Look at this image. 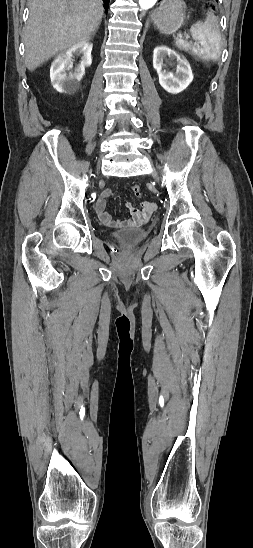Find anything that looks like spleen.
Listing matches in <instances>:
<instances>
[{"label": "spleen", "mask_w": 253, "mask_h": 548, "mask_svg": "<svg viewBox=\"0 0 253 548\" xmlns=\"http://www.w3.org/2000/svg\"><path fill=\"white\" fill-rule=\"evenodd\" d=\"M195 43L176 39V45L184 51H191L204 61H217L221 56V35L218 19L210 11L204 22L198 21L190 28Z\"/></svg>", "instance_id": "1"}]
</instances>
